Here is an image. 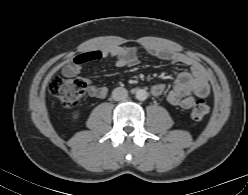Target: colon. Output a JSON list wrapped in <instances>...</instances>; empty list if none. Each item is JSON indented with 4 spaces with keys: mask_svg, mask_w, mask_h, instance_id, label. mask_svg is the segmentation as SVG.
I'll return each instance as SVG.
<instances>
[{
    "mask_svg": "<svg viewBox=\"0 0 248 195\" xmlns=\"http://www.w3.org/2000/svg\"><path fill=\"white\" fill-rule=\"evenodd\" d=\"M50 93L66 108L74 107L86 93V83L76 77H56L49 87ZM209 112L208 104L202 100H196L193 104L191 115L194 119H201Z\"/></svg>",
    "mask_w": 248,
    "mask_h": 195,
    "instance_id": "obj_1",
    "label": "colon"
}]
</instances>
